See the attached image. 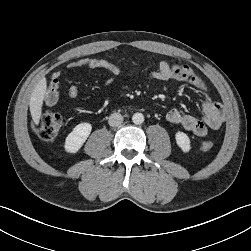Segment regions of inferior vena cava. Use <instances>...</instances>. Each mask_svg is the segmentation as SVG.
Returning a JSON list of instances; mask_svg holds the SVG:
<instances>
[{"mask_svg": "<svg viewBox=\"0 0 251 251\" xmlns=\"http://www.w3.org/2000/svg\"><path fill=\"white\" fill-rule=\"evenodd\" d=\"M123 122V116L120 113H113L110 115L108 123L112 127H117Z\"/></svg>", "mask_w": 251, "mask_h": 251, "instance_id": "602c4592", "label": "inferior vena cava"}]
</instances>
